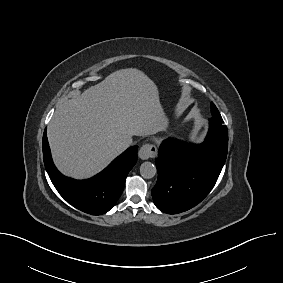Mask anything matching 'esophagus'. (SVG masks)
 Listing matches in <instances>:
<instances>
[{
	"instance_id": "1",
	"label": "esophagus",
	"mask_w": 283,
	"mask_h": 283,
	"mask_svg": "<svg viewBox=\"0 0 283 283\" xmlns=\"http://www.w3.org/2000/svg\"><path fill=\"white\" fill-rule=\"evenodd\" d=\"M138 155L142 160L153 158L157 155V147L154 144H144L140 148Z\"/></svg>"
}]
</instances>
